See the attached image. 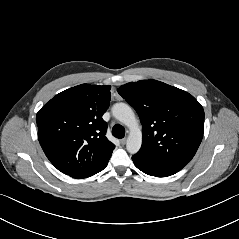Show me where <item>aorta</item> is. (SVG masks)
Wrapping results in <instances>:
<instances>
[{
	"instance_id": "762f6f07",
	"label": "aorta",
	"mask_w": 239,
	"mask_h": 239,
	"mask_svg": "<svg viewBox=\"0 0 239 239\" xmlns=\"http://www.w3.org/2000/svg\"><path fill=\"white\" fill-rule=\"evenodd\" d=\"M112 114L130 130L126 143L127 151L131 154L137 153L142 144V132L133 110L125 103H116L112 107Z\"/></svg>"
}]
</instances>
